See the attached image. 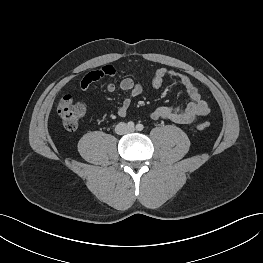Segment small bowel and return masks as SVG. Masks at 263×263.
Listing matches in <instances>:
<instances>
[{
    "instance_id": "c3829d8e",
    "label": "small bowel",
    "mask_w": 263,
    "mask_h": 263,
    "mask_svg": "<svg viewBox=\"0 0 263 263\" xmlns=\"http://www.w3.org/2000/svg\"><path fill=\"white\" fill-rule=\"evenodd\" d=\"M115 74V69L111 66L88 72L81 79L80 88L83 91H88L94 83L103 78H112ZM165 78H172L178 81L186 89L191 102L184 107L169 105L160 106L151 113L152 119L167 120L180 125H192L199 117L209 113V105L202 98L199 89L193 83L192 79L182 72L167 68L156 70L150 81L151 88L159 89ZM119 87L126 94V97L117 108V115L123 117L127 114L132 99L143 92V86L131 78H124L121 80ZM106 90L109 93H114L117 90V86L114 83H108L106 85Z\"/></svg>"
}]
</instances>
